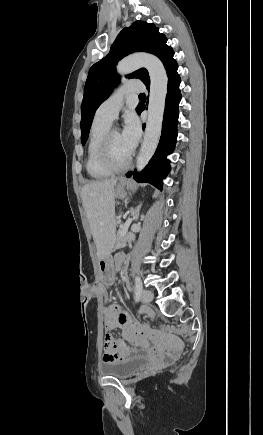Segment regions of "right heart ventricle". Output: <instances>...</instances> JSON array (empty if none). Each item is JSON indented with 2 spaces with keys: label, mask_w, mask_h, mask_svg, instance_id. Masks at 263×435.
Wrapping results in <instances>:
<instances>
[{
  "label": "right heart ventricle",
  "mask_w": 263,
  "mask_h": 435,
  "mask_svg": "<svg viewBox=\"0 0 263 435\" xmlns=\"http://www.w3.org/2000/svg\"><path fill=\"white\" fill-rule=\"evenodd\" d=\"M110 125V122L95 117L90 128L85 168L89 177L93 179H104L112 174L99 161L100 144L104 134L110 129Z\"/></svg>",
  "instance_id": "e07e8e85"
}]
</instances>
